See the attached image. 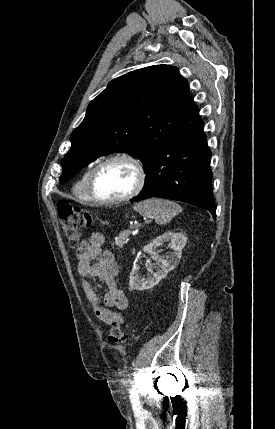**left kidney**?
I'll list each match as a JSON object with an SVG mask.
<instances>
[{"instance_id":"5707ae66","label":"left kidney","mask_w":275,"mask_h":429,"mask_svg":"<svg viewBox=\"0 0 275 429\" xmlns=\"http://www.w3.org/2000/svg\"><path fill=\"white\" fill-rule=\"evenodd\" d=\"M187 238L183 233L166 232L152 242L143 247V251L150 254L152 259L155 260L151 271L152 277L141 279L137 274V268L134 266L130 273L129 287L131 290H148L156 286L163 278L166 277L168 272L173 270L179 263L181 258L182 249L185 247ZM164 243H169L168 247L172 249L166 256V259L156 255V248Z\"/></svg>"}]
</instances>
